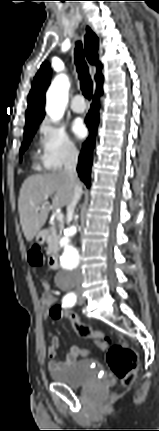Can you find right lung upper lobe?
<instances>
[{
	"mask_svg": "<svg viewBox=\"0 0 159 431\" xmlns=\"http://www.w3.org/2000/svg\"><path fill=\"white\" fill-rule=\"evenodd\" d=\"M97 47L98 38L89 28H87V34L85 36V55L90 64H96L97 66L96 80L97 84H99L102 82L103 77L100 72L101 63L97 61ZM50 73V65L45 61L34 77L32 89L28 95L25 129L39 125L44 118L45 92L50 84Z\"/></svg>",
	"mask_w": 159,
	"mask_h": 431,
	"instance_id": "cb5924a9",
	"label": "right lung upper lobe"
}]
</instances>
